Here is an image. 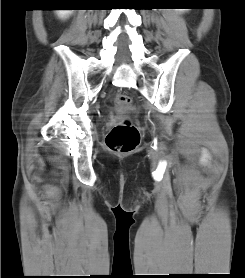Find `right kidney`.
Instances as JSON below:
<instances>
[{
	"label": "right kidney",
	"mask_w": 245,
	"mask_h": 278,
	"mask_svg": "<svg viewBox=\"0 0 245 278\" xmlns=\"http://www.w3.org/2000/svg\"><path fill=\"white\" fill-rule=\"evenodd\" d=\"M56 12L60 18H65L69 16L73 10H57Z\"/></svg>",
	"instance_id": "1"
}]
</instances>
